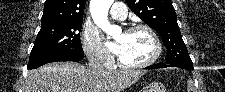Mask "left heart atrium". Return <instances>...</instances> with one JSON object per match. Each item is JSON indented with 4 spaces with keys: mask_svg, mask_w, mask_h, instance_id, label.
I'll return each instance as SVG.
<instances>
[{
    "mask_svg": "<svg viewBox=\"0 0 225 92\" xmlns=\"http://www.w3.org/2000/svg\"><path fill=\"white\" fill-rule=\"evenodd\" d=\"M110 48H111V51L116 53V54H119L120 53V45L118 43H115V44H111L110 45Z\"/></svg>",
    "mask_w": 225,
    "mask_h": 92,
    "instance_id": "39dd6f15",
    "label": "left heart atrium"
}]
</instances>
